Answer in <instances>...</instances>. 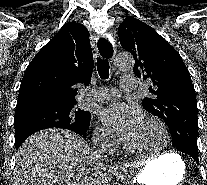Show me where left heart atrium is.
I'll return each instance as SVG.
<instances>
[{
    "label": "left heart atrium",
    "instance_id": "39dd6f15",
    "mask_svg": "<svg viewBox=\"0 0 207 185\" xmlns=\"http://www.w3.org/2000/svg\"><path fill=\"white\" fill-rule=\"evenodd\" d=\"M104 124L124 136L129 135L143 120L138 109L122 103L113 104L101 112Z\"/></svg>",
    "mask_w": 207,
    "mask_h": 185
}]
</instances>
